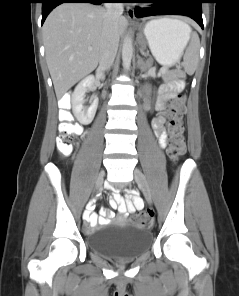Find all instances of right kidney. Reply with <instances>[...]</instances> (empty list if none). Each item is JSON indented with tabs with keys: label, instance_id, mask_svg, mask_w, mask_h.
<instances>
[{
	"label": "right kidney",
	"instance_id": "obj_1",
	"mask_svg": "<svg viewBox=\"0 0 239 296\" xmlns=\"http://www.w3.org/2000/svg\"><path fill=\"white\" fill-rule=\"evenodd\" d=\"M97 78L104 79V75L99 74ZM95 81H96V78L93 75H89L85 77L76 86L71 97L73 113L77 118V120L84 125L89 124L93 120L98 107L99 99L96 96H92L90 98V106L88 107L84 106L85 93L88 90L92 89Z\"/></svg>",
	"mask_w": 239,
	"mask_h": 296
}]
</instances>
